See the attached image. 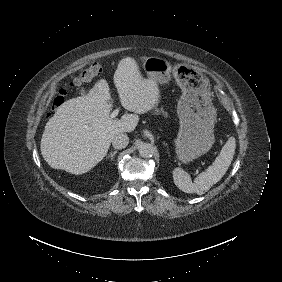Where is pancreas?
Segmentation results:
<instances>
[{"instance_id":"cf45deb5","label":"pancreas","mask_w":282,"mask_h":282,"mask_svg":"<svg viewBox=\"0 0 282 282\" xmlns=\"http://www.w3.org/2000/svg\"><path fill=\"white\" fill-rule=\"evenodd\" d=\"M150 113L153 115L164 116L165 118H169V113L164 110L163 106H154L151 109Z\"/></svg>"}]
</instances>
